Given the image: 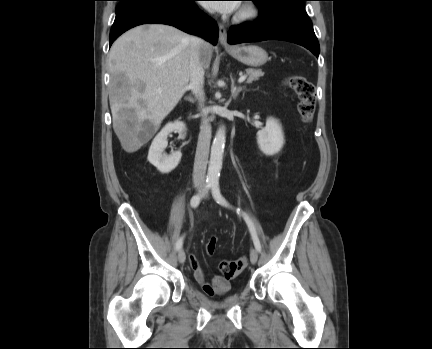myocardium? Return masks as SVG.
Listing matches in <instances>:
<instances>
[{
	"mask_svg": "<svg viewBox=\"0 0 432 349\" xmlns=\"http://www.w3.org/2000/svg\"><path fill=\"white\" fill-rule=\"evenodd\" d=\"M258 14L257 8L253 4H245L235 16L236 22H246L255 18Z\"/></svg>",
	"mask_w": 432,
	"mask_h": 349,
	"instance_id": "obj_1",
	"label": "myocardium"
}]
</instances>
